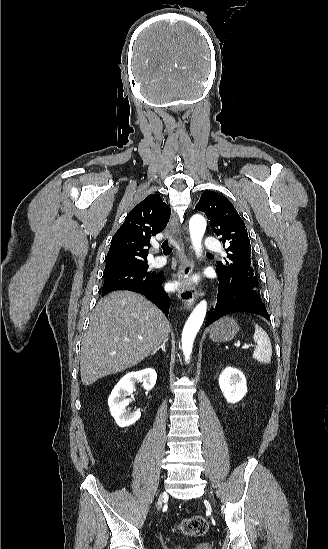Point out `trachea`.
I'll use <instances>...</instances> for the list:
<instances>
[{
	"instance_id": "3493384b",
	"label": "trachea",
	"mask_w": 328,
	"mask_h": 549,
	"mask_svg": "<svg viewBox=\"0 0 328 549\" xmlns=\"http://www.w3.org/2000/svg\"><path fill=\"white\" fill-rule=\"evenodd\" d=\"M162 249H163V253L164 255H168L172 252V248L169 246L168 244V240H165L163 243H162Z\"/></svg>"
}]
</instances>
